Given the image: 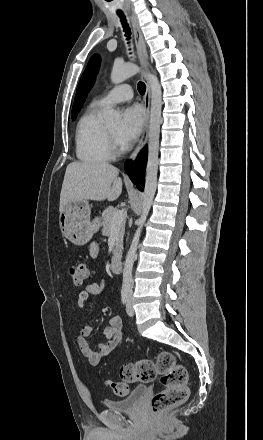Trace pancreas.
Returning a JSON list of instances; mask_svg holds the SVG:
<instances>
[{
    "instance_id": "obj_1",
    "label": "pancreas",
    "mask_w": 263,
    "mask_h": 440,
    "mask_svg": "<svg viewBox=\"0 0 263 440\" xmlns=\"http://www.w3.org/2000/svg\"><path fill=\"white\" fill-rule=\"evenodd\" d=\"M117 211H119L117 208L109 206L102 213L101 226L103 227V229H102L103 235L110 236L113 217ZM124 232H125V219H123L122 222L120 223V225L118 226V235H117V239L115 241L114 248H113L112 261H114L115 259H117L121 255V252L123 249Z\"/></svg>"
}]
</instances>
